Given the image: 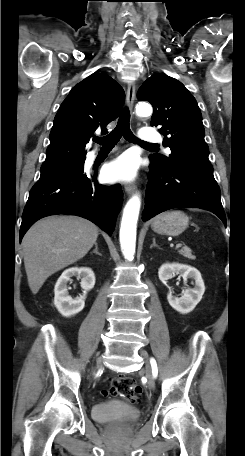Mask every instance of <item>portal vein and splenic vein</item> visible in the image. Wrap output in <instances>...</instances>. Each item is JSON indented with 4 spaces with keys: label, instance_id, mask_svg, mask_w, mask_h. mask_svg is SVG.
<instances>
[{
    "label": "portal vein and splenic vein",
    "instance_id": "1",
    "mask_svg": "<svg viewBox=\"0 0 245 456\" xmlns=\"http://www.w3.org/2000/svg\"><path fill=\"white\" fill-rule=\"evenodd\" d=\"M171 246H173L175 248H180L182 246V244L181 243H177V244H174V245H171Z\"/></svg>",
    "mask_w": 245,
    "mask_h": 456
}]
</instances>
